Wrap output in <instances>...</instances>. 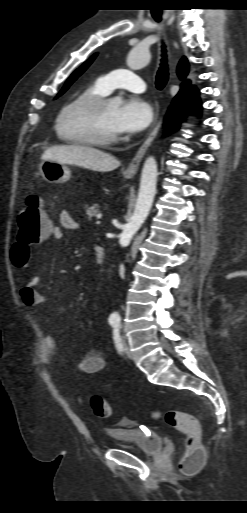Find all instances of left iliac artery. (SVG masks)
<instances>
[{
	"mask_svg": "<svg viewBox=\"0 0 247 513\" xmlns=\"http://www.w3.org/2000/svg\"><path fill=\"white\" fill-rule=\"evenodd\" d=\"M113 327H114L113 328V339H114L115 345L119 351H123V344L121 342V338H120V334H119L120 324H116Z\"/></svg>",
	"mask_w": 247,
	"mask_h": 513,
	"instance_id": "left-iliac-artery-1",
	"label": "left iliac artery"
}]
</instances>
